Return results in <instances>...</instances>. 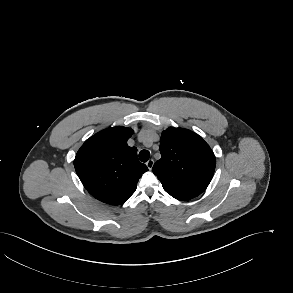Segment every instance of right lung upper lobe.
Listing matches in <instances>:
<instances>
[{"label": "right lung upper lobe", "mask_w": 293, "mask_h": 293, "mask_svg": "<svg viewBox=\"0 0 293 293\" xmlns=\"http://www.w3.org/2000/svg\"><path fill=\"white\" fill-rule=\"evenodd\" d=\"M132 133L122 126L102 130L86 140L76 154L74 166L82 184L104 203L119 205L127 201L148 170L139 162L137 149L127 145Z\"/></svg>", "instance_id": "1"}]
</instances>
